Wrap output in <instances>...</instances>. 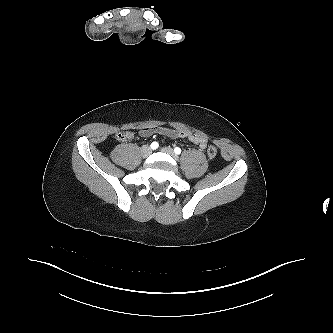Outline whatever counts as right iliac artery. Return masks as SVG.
<instances>
[{"label":"right iliac artery","mask_w":333,"mask_h":333,"mask_svg":"<svg viewBox=\"0 0 333 333\" xmlns=\"http://www.w3.org/2000/svg\"><path fill=\"white\" fill-rule=\"evenodd\" d=\"M158 146H159L158 142H152V143H151V148H152L153 150L157 149Z\"/></svg>","instance_id":"obj_1"}]
</instances>
